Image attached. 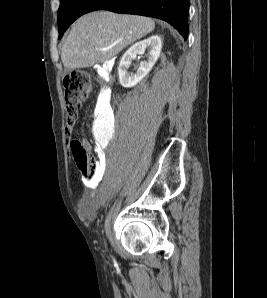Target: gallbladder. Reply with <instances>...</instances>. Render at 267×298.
I'll use <instances>...</instances> for the list:
<instances>
[{"label": "gallbladder", "instance_id": "bac80fb5", "mask_svg": "<svg viewBox=\"0 0 267 298\" xmlns=\"http://www.w3.org/2000/svg\"><path fill=\"white\" fill-rule=\"evenodd\" d=\"M68 71H69L68 69L65 70V72H68Z\"/></svg>", "mask_w": 267, "mask_h": 298}]
</instances>
